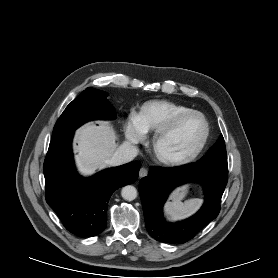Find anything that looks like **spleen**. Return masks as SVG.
Listing matches in <instances>:
<instances>
[{
	"mask_svg": "<svg viewBox=\"0 0 278 278\" xmlns=\"http://www.w3.org/2000/svg\"><path fill=\"white\" fill-rule=\"evenodd\" d=\"M201 205L199 199H189L184 202H167L165 211L174 220H180L189 217L195 213Z\"/></svg>",
	"mask_w": 278,
	"mask_h": 278,
	"instance_id": "3e777b00",
	"label": "spleen"
}]
</instances>
